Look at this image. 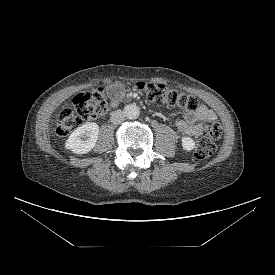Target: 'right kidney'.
<instances>
[{
  "label": "right kidney",
  "mask_w": 275,
  "mask_h": 275,
  "mask_svg": "<svg viewBox=\"0 0 275 275\" xmlns=\"http://www.w3.org/2000/svg\"><path fill=\"white\" fill-rule=\"evenodd\" d=\"M99 134V126L94 122H88L77 127L65 143V148L75 154H86L96 145Z\"/></svg>",
  "instance_id": "right-kidney-1"
}]
</instances>
